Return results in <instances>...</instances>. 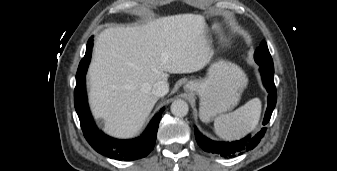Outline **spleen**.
Segmentation results:
<instances>
[{"instance_id": "1", "label": "spleen", "mask_w": 337, "mask_h": 171, "mask_svg": "<svg viewBox=\"0 0 337 171\" xmlns=\"http://www.w3.org/2000/svg\"><path fill=\"white\" fill-rule=\"evenodd\" d=\"M260 114L261 101L253 98L235 111L218 116L214 121L215 133L224 140L239 139L257 126Z\"/></svg>"}]
</instances>
